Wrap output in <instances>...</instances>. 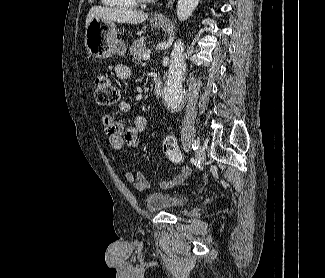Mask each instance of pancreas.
<instances>
[{
	"label": "pancreas",
	"instance_id": "obj_1",
	"mask_svg": "<svg viewBox=\"0 0 325 278\" xmlns=\"http://www.w3.org/2000/svg\"><path fill=\"white\" fill-rule=\"evenodd\" d=\"M129 51L132 55V60L135 63H138L143 58V55L146 53L144 38L135 40L132 46L129 48Z\"/></svg>",
	"mask_w": 325,
	"mask_h": 278
}]
</instances>
